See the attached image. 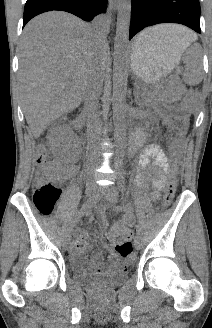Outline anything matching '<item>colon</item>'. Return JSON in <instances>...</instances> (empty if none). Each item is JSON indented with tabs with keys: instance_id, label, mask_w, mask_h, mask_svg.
Returning a JSON list of instances; mask_svg holds the SVG:
<instances>
[{
	"instance_id": "1",
	"label": "colon",
	"mask_w": 212,
	"mask_h": 328,
	"mask_svg": "<svg viewBox=\"0 0 212 328\" xmlns=\"http://www.w3.org/2000/svg\"><path fill=\"white\" fill-rule=\"evenodd\" d=\"M196 99V94L193 90H190L184 100V106L190 107ZM183 127L178 129L175 135V143L173 148V156L175 160L179 158V141L183 135ZM36 164L38 167L34 184H33V202L40 214L43 216H49L52 214L55 205L61 195V188L50 181H47V177L52 176V170L47 164V151L44 147H40L36 153ZM177 180L175 176H172L167 184L164 193V206L168 207L175 196ZM116 252L128 261L134 260L132 243L129 239H121L116 244Z\"/></svg>"
}]
</instances>
